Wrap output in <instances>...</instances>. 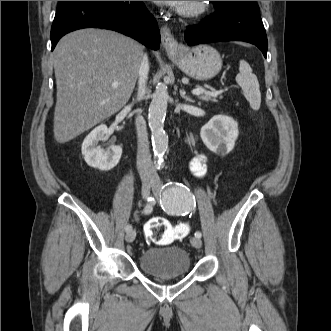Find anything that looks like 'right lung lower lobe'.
<instances>
[{
    "label": "right lung lower lobe",
    "instance_id": "1",
    "mask_svg": "<svg viewBox=\"0 0 331 331\" xmlns=\"http://www.w3.org/2000/svg\"><path fill=\"white\" fill-rule=\"evenodd\" d=\"M82 28H105L157 50L160 32L142 1H60L51 28L52 50L65 34Z\"/></svg>",
    "mask_w": 331,
    "mask_h": 331
}]
</instances>
